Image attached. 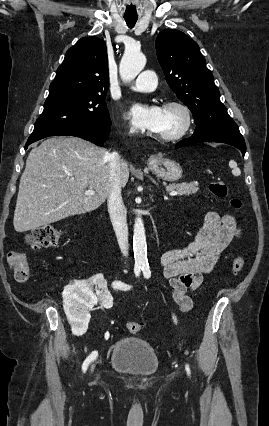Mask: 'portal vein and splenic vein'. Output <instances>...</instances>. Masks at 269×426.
<instances>
[{
	"instance_id": "obj_1",
	"label": "portal vein and splenic vein",
	"mask_w": 269,
	"mask_h": 426,
	"mask_svg": "<svg viewBox=\"0 0 269 426\" xmlns=\"http://www.w3.org/2000/svg\"><path fill=\"white\" fill-rule=\"evenodd\" d=\"M94 194H95V192L92 189L85 191V195L91 196V195H94ZM177 194L178 193L176 191H170V193H169L170 196H176Z\"/></svg>"
}]
</instances>
